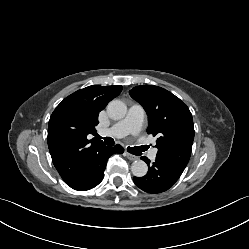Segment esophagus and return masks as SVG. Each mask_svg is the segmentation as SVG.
I'll return each instance as SVG.
<instances>
[{"label": "esophagus", "instance_id": "34e87169", "mask_svg": "<svg viewBox=\"0 0 249 249\" xmlns=\"http://www.w3.org/2000/svg\"><path fill=\"white\" fill-rule=\"evenodd\" d=\"M125 155H126V157L129 159V160H131V161H134V160H137L138 159V157L137 156H135V155H132V154H130L129 152H125Z\"/></svg>", "mask_w": 249, "mask_h": 249}]
</instances>
